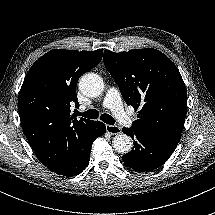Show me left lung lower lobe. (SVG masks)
I'll use <instances>...</instances> for the list:
<instances>
[{"instance_id": "obj_1", "label": "left lung lower lobe", "mask_w": 215, "mask_h": 215, "mask_svg": "<svg viewBox=\"0 0 215 215\" xmlns=\"http://www.w3.org/2000/svg\"><path fill=\"white\" fill-rule=\"evenodd\" d=\"M122 131L134 140L133 149L122 159L131 169L149 172L162 166L171 156L181 135L145 133L123 128Z\"/></svg>"}]
</instances>
